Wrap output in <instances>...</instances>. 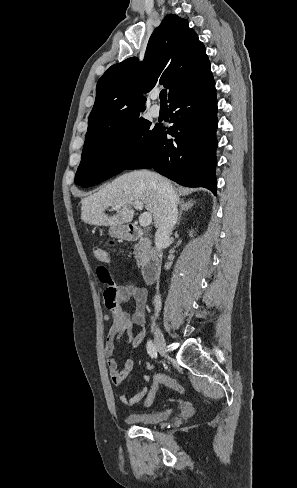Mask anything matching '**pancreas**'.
<instances>
[{
	"label": "pancreas",
	"mask_w": 297,
	"mask_h": 488,
	"mask_svg": "<svg viewBox=\"0 0 297 488\" xmlns=\"http://www.w3.org/2000/svg\"><path fill=\"white\" fill-rule=\"evenodd\" d=\"M150 254V241L146 239L140 240L134 247V255L138 267L147 262V260L150 258Z\"/></svg>",
	"instance_id": "obj_1"
}]
</instances>
